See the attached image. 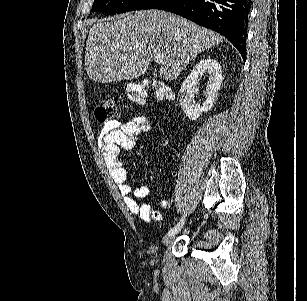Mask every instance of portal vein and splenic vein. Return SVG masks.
Masks as SVG:
<instances>
[{"label": "portal vein and splenic vein", "mask_w": 307, "mask_h": 301, "mask_svg": "<svg viewBox=\"0 0 307 301\" xmlns=\"http://www.w3.org/2000/svg\"><path fill=\"white\" fill-rule=\"evenodd\" d=\"M155 62H159V64H165L163 56L161 54H155L154 56Z\"/></svg>", "instance_id": "18ae733b"}]
</instances>
